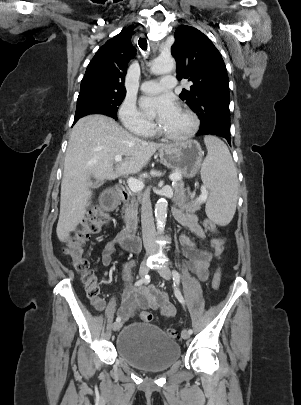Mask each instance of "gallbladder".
<instances>
[{
  "mask_svg": "<svg viewBox=\"0 0 301 405\" xmlns=\"http://www.w3.org/2000/svg\"><path fill=\"white\" fill-rule=\"evenodd\" d=\"M101 185H102V181H96V182L93 183L92 187L93 188H98Z\"/></svg>",
  "mask_w": 301,
  "mask_h": 405,
  "instance_id": "gallbladder-1",
  "label": "gallbladder"
}]
</instances>
